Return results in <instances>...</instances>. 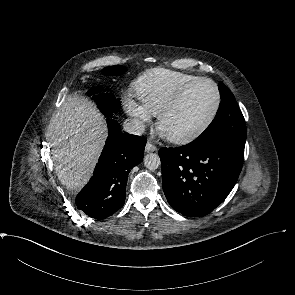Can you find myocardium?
Instances as JSON below:
<instances>
[{"label": "myocardium", "mask_w": 295, "mask_h": 295, "mask_svg": "<svg viewBox=\"0 0 295 295\" xmlns=\"http://www.w3.org/2000/svg\"><path fill=\"white\" fill-rule=\"evenodd\" d=\"M201 82H207L213 86L216 92L217 100H216V105L215 108L209 117V119L195 132L184 136V137H179V138H171L168 137V139L178 145H186L189 144L198 138H200L202 135H204L209 128L213 125L215 120L217 119L220 109H221V104H222V94L220 91V88L218 84L207 77H198L195 80L191 81L190 83L186 84L184 87H182L174 96L173 98L161 109V111L158 114V120H157V125L160 130H162V124L164 119L171 113L173 112L182 102L184 97L187 95V93L195 87L197 84Z\"/></svg>", "instance_id": "myocardium-1"}]
</instances>
